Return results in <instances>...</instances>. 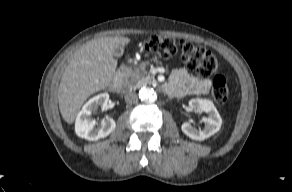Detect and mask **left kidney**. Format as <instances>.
I'll use <instances>...</instances> for the list:
<instances>
[{
	"mask_svg": "<svg viewBox=\"0 0 292 192\" xmlns=\"http://www.w3.org/2000/svg\"><path fill=\"white\" fill-rule=\"evenodd\" d=\"M189 107L195 111H204L209 114L204 117L203 121L205 127L203 130L194 128L190 123L185 122L182 124L181 129L189 138L197 141H202L209 138L218 132L222 125V118L220 117L213 102L208 99L195 98L189 101Z\"/></svg>",
	"mask_w": 292,
	"mask_h": 192,
	"instance_id": "obj_1",
	"label": "left kidney"
}]
</instances>
